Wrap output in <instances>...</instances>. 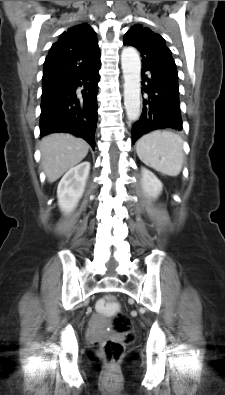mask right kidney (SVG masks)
<instances>
[{
	"label": "right kidney",
	"instance_id": "right-kidney-1",
	"mask_svg": "<svg viewBox=\"0 0 225 395\" xmlns=\"http://www.w3.org/2000/svg\"><path fill=\"white\" fill-rule=\"evenodd\" d=\"M89 171L90 163L82 162L63 176L57 188L58 204L61 211L69 213L77 206L83 196Z\"/></svg>",
	"mask_w": 225,
	"mask_h": 395
}]
</instances>
